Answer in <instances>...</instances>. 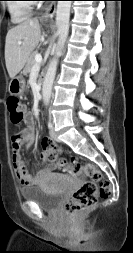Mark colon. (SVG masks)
<instances>
[{"instance_id":"1","label":"colon","mask_w":133,"mask_h":253,"mask_svg":"<svg viewBox=\"0 0 133 253\" xmlns=\"http://www.w3.org/2000/svg\"><path fill=\"white\" fill-rule=\"evenodd\" d=\"M9 117L14 125L22 124L27 117L26 107L23 102L14 96L6 100ZM41 142L46 151V160L55 162L60 171L72 176L87 175L93 181L87 182L76 190L65 204V211L70 215L78 214L94 206L99 197H107L111 193V184L104 179L99 170L91 164L82 166L75 159H62L57 157L58 147L52 137H41Z\"/></svg>"}]
</instances>
